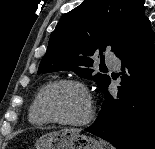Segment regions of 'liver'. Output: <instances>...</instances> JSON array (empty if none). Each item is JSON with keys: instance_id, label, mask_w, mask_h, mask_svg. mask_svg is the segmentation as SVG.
Returning <instances> with one entry per match:
<instances>
[{"instance_id": "obj_1", "label": "liver", "mask_w": 155, "mask_h": 149, "mask_svg": "<svg viewBox=\"0 0 155 149\" xmlns=\"http://www.w3.org/2000/svg\"><path fill=\"white\" fill-rule=\"evenodd\" d=\"M65 131H71L73 133H79L80 132L79 129H65Z\"/></svg>"}]
</instances>
